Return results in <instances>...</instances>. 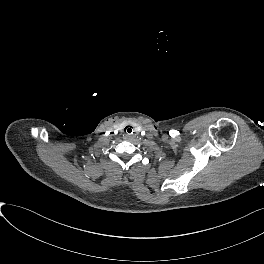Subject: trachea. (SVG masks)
Listing matches in <instances>:
<instances>
[{"label":"trachea","mask_w":264,"mask_h":264,"mask_svg":"<svg viewBox=\"0 0 264 264\" xmlns=\"http://www.w3.org/2000/svg\"><path fill=\"white\" fill-rule=\"evenodd\" d=\"M124 132L127 134V135H131L133 134L134 130H133V127L131 125H128L124 128Z\"/></svg>","instance_id":"3493384b"}]
</instances>
